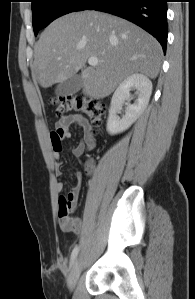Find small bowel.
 <instances>
[{
    "label": "small bowel",
    "instance_id": "1",
    "mask_svg": "<svg viewBox=\"0 0 195 299\" xmlns=\"http://www.w3.org/2000/svg\"><path fill=\"white\" fill-rule=\"evenodd\" d=\"M77 125L83 130L82 140L71 150V154L75 159L80 158L85 152L94 148L95 143L92 137V128L88 121L79 115H69L61 118L56 128L50 133V142L54 148L55 173L58 178L61 177L60 147L64 140L72 137L70 127ZM92 166V162L88 163V167ZM81 177L77 176V183L70 189L66 199L70 200L72 211L76 208L77 200L80 192ZM57 192L61 193L64 189V183L58 180L56 183ZM84 222L80 217L69 214L68 216H59V227L61 230L71 233H80L83 230Z\"/></svg>",
    "mask_w": 195,
    "mask_h": 299
}]
</instances>
